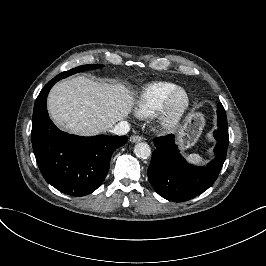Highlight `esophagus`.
Wrapping results in <instances>:
<instances>
[{
	"label": "esophagus",
	"mask_w": 266,
	"mask_h": 266,
	"mask_svg": "<svg viewBox=\"0 0 266 266\" xmlns=\"http://www.w3.org/2000/svg\"><path fill=\"white\" fill-rule=\"evenodd\" d=\"M142 140H143V137L139 136V135H133L130 137V142H132V143H137V142H140Z\"/></svg>",
	"instance_id": "obj_1"
}]
</instances>
